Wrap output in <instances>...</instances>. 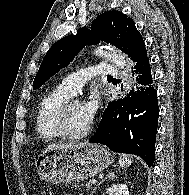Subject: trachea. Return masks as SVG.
<instances>
[{"label":"trachea","mask_w":189,"mask_h":195,"mask_svg":"<svg viewBox=\"0 0 189 195\" xmlns=\"http://www.w3.org/2000/svg\"><path fill=\"white\" fill-rule=\"evenodd\" d=\"M108 77L112 78V76H111V75H108Z\"/></svg>","instance_id":"obj_1"}]
</instances>
